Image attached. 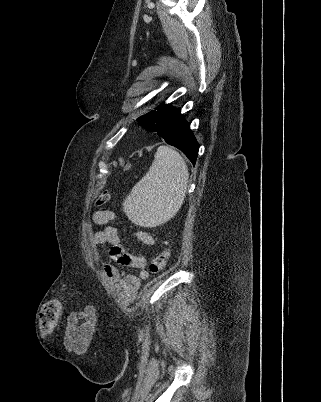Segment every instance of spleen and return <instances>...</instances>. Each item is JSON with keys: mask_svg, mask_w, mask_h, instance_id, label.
<instances>
[{"mask_svg": "<svg viewBox=\"0 0 321 402\" xmlns=\"http://www.w3.org/2000/svg\"><path fill=\"white\" fill-rule=\"evenodd\" d=\"M189 173L183 157L160 146L148 172L123 202L129 220L138 226L155 227L172 218L186 196Z\"/></svg>", "mask_w": 321, "mask_h": 402, "instance_id": "3e777b00", "label": "spleen"}]
</instances>
